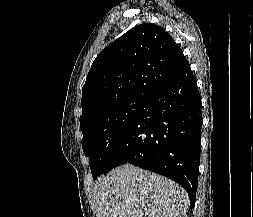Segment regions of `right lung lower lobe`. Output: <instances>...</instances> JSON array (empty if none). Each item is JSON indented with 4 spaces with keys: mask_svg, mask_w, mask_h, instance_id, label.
<instances>
[{
    "mask_svg": "<svg viewBox=\"0 0 253 217\" xmlns=\"http://www.w3.org/2000/svg\"><path fill=\"white\" fill-rule=\"evenodd\" d=\"M202 127L201 98L189 62L151 93L114 149L104 174L125 163L164 175L196 199Z\"/></svg>",
    "mask_w": 253,
    "mask_h": 217,
    "instance_id": "right-lung-lower-lobe-1",
    "label": "right lung lower lobe"
}]
</instances>
